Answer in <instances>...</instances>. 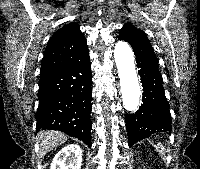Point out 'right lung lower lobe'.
Wrapping results in <instances>:
<instances>
[{"label":"right lung lower lobe","mask_w":200,"mask_h":169,"mask_svg":"<svg viewBox=\"0 0 200 169\" xmlns=\"http://www.w3.org/2000/svg\"><path fill=\"white\" fill-rule=\"evenodd\" d=\"M91 83L89 51L70 65L41 73L37 131L60 130L90 147Z\"/></svg>","instance_id":"right-lung-lower-lobe-1"}]
</instances>
